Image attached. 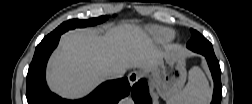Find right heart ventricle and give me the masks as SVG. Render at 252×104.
Here are the masks:
<instances>
[{"label":"right heart ventricle","instance_id":"e07e8e85","mask_svg":"<svg viewBox=\"0 0 252 104\" xmlns=\"http://www.w3.org/2000/svg\"><path fill=\"white\" fill-rule=\"evenodd\" d=\"M156 35L162 40H169L173 37L174 33L169 29H159L156 31Z\"/></svg>","mask_w":252,"mask_h":104}]
</instances>
